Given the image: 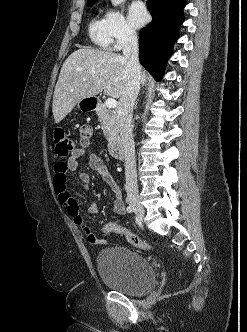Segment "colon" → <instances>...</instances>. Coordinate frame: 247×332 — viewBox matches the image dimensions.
Returning <instances> with one entry per match:
<instances>
[{
	"mask_svg": "<svg viewBox=\"0 0 247 332\" xmlns=\"http://www.w3.org/2000/svg\"><path fill=\"white\" fill-rule=\"evenodd\" d=\"M53 138H54L55 153L58 157L66 158L74 153L75 142L63 129H56ZM102 229L105 233H115L123 236L127 240V242H129L130 244L139 249L143 250L152 249V246L150 244L143 241L138 236L131 233L129 230L119 226L116 223L113 222L106 223Z\"/></svg>",
	"mask_w": 247,
	"mask_h": 332,
	"instance_id": "1",
	"label": "colon"
}]
</instances>
